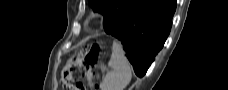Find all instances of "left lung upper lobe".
Wrapping results in <instances>:
<instances>
[{"instance_id": "5c2ea615", "label": "left lung upper lobe", "mask_w": 228, "mask_h": 90, "mask_svg": "<svg viewBox=\"0 0 228 90\" xmlns=\"http://www.w3.org/2000/svg\"><path fill=\"white\" fill-rule=\"evenodd\" d=\"M130 0H88L94 11L104 15V27L107 29L129 6Z\"/></svg>"}]
</instances>
